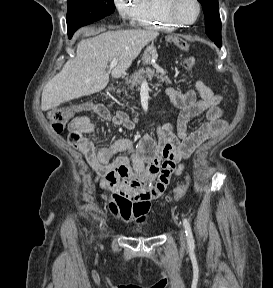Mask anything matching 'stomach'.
Listing matches in <instances>:
<instances>
[{
	"label": "stomach",
	"instance_id": "1",
	"mask_svg": "<svg viewBox=\"0 0 273 288\" xmlns=\"http://www.w3.org/2000/svg\"><path fill=\"white\" fill-rule=\"evenodd\" d=\"M158 58V53L155 45L152 43L151 45L147 46L142 56V64L148 65L152 64Z\"/></svg>",
	"mask_w": 273,
	"mask_h": 288
}]
</instances>
